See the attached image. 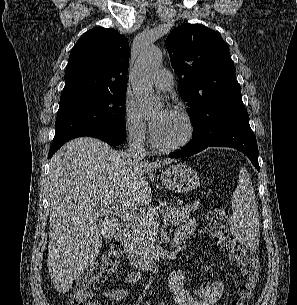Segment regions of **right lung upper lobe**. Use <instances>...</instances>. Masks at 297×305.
Here are the masks:
<instances>
[{"mask_svg": "<svg viewBox=\"0 0 297 305\" xmlns=\"http://www.w3.org/2000/svg\"><path fill=\"white\" fill-rule=\"evenodd\" d=\"M128 66L127 39L111 28L91 29L70 52L60 99L126 91Z\"/></svg>", "mask_w": 297, "mask_h": 305, "instance_id": "cb5924a9", "label": "right lung upper lobe"}]
</instances>
